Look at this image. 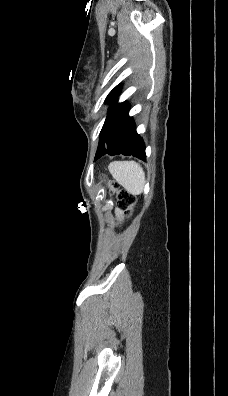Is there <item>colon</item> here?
<instances>
[{
    "label": "colon",
    "instance_id": "colon-1",
    "mask_svg": "<svg viewBox=\"0 0 228 396\" xmlns=\"http://www.w3.org/2000/svg\"><path fill=\"white\" fill-rule=\"evenodd\" d=\"M102 180H105V177L102 176L101 177ZM110 189L112 190V192H115L119 201V206L122 209L128 210L130 209L134 203H135V198L128 193L125 190H119L118 189V185L114 182L109 183Z\"/></svg>",
    "mask_w": 228,
    "mask_h": 396
}]
</instances>
